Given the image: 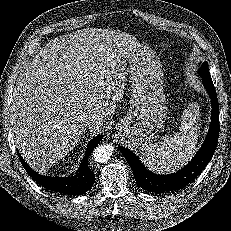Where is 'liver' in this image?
Wrapping results in <instances>:
<instances>
[{
	"label": "liver",
	"instance_id": "6515ba94",
	"mask_svg": "<svg viewBox=\"0 0 231 231\" xmlns=\"http://www.w3.org/2000/svg\"><path fill=\"white\" fill-rule=\"evenodd\" d=\"M140 47L125 32L84 28L51 40L27 63L10 117L15 144L32 168H50L80 141L87 120L104 122L114 113L125 89L122 58Z\"/></svg>",
	"mask_w": 231,
	"mask_h": 231
}]
</instances>
